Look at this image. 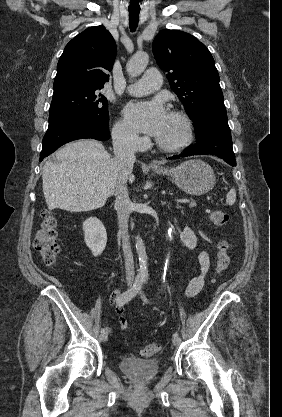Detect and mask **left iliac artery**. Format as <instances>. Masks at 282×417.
Wrapping results in <instances>:
<instances>
[{
    "label": "left iliac artery",
    "instance_id": "left-iliac-artery-1",
    "mask_svg": "<svg viewBox=\"0 0 282 417\" xmlns=\"http://www.w3.org/2000/svg\"><path fill=\"white\" fill-rule=\"evenodd\" d=\"M142 299L144 300V302H148V300H147V298L145 297V295L144 294H142ZM178 336V333L177 332H175L174 334H173V337H177Z\"/></svg>",
    "mask_w": 282,
    "mask_h": 417
}]
</instances>
